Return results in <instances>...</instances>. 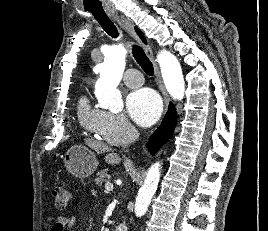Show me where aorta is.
I'll return each mask as SVG.
<instances>
[{
    "label": "aorta",
    "instance_id": "762f6f07",
    "mask_svg": "<svg viewBox=\"0 0 268 231\" xmlns=\"http://www.w3.org/2000/svg\"><path fill=\"white\" fill-rule=\"evenodd\" d=\"M127 51L122 45L112 46L106 53L100 70V78L95 84V95L102 108L113 112L121 111L124 107L122 96L117 89L125 69ZM165 87L171 97L182 100L185 83L181 65L178 59L169 51L162 50L157 55ZM160 162H155L149 168L143 185L140 187L135 200V214L143 216L154 196L160 180Z\"/></svg>",
    "mask_w": 268,
    "mask_h": 231
}]
</instances>
